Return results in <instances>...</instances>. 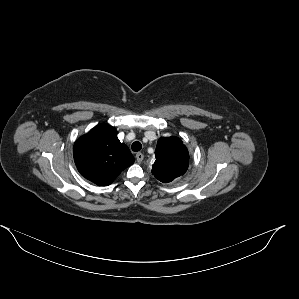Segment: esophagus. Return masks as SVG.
Masks as SVG:
<instances>
[{
	"label": "esophagus",
	"instance_id": "34e87169",
	"mask_svg": "<svg viewBox=\"0 0 299 299\" xmlns=\"http://www.w3.org/2000/svg\"><path fill=\"white\" fill-rule=\"evenodd\" d=\"M143 159H144V155L142 153L138 152L136 154V160H137V162L140 163V162H142Z\"/></svg>",
	"mask_w": 299,
	"mask_h": 299
}]
</instances>
